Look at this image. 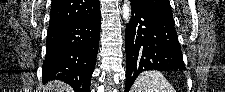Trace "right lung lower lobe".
I'll use <instances>...</instances> for the list:
<instances>
[{
    "instance_id": "right-lung-lower-lobe-1",
    "label": "right lung lower lobe",
    "mask_w": 225,
    "mask_h": 92,
    "mask_svg": "<svg viewBox=\"0 0 225 92\" xmlns=\"http://www.w3.org/2000/svg\"><path fill=\"white\" fill-rule=\"evenodd\" d=\"M100 12L67 25L48 29L46 57L42 66L43 82L61 80L75 92H89L95 68Z\"/></svg>"
}]
</instances>
